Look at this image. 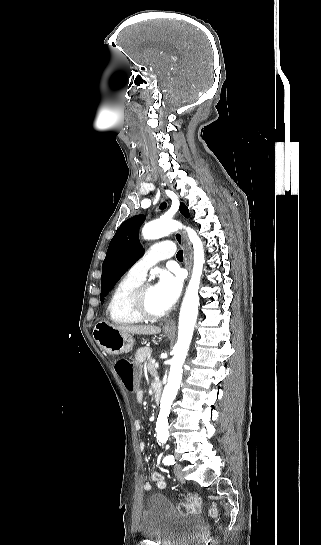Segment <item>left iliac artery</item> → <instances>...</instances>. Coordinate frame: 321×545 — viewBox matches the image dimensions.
<instances>
[{"mask_svg": "<svg viewBox=\"0 0 321 545\" xmlns=\"http://www.w3.org/2000/svg\"><path fill=\"white\" fill-rule=\"evenodd\" d=\"M163 463H164L165 465H173V464H175V460H174L173 455H168V456H166V457L164 458V460H163Z\"/></svg>", "mask_w": 321, "mask_h": 545, "instance_id": "1", "label": "left iliac artery"}]
</instances>
